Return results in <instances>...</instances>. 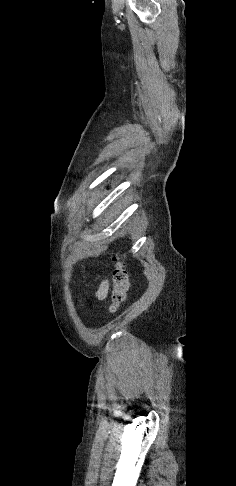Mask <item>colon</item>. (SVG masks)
<instances>
[{
  "instance_id": "colon-1",
  "label": "colon",
  "mask_w": 236,
  "mask_h": 486,
  "mask_svg": "<svg viewBox=\"0 0 236 486\" xmlns=\"http://www.w3.org/2000/svg\"><path fill=\"white\" fill-rule=\"evenodd\" d=\"M112 261L114 263V270L112 273L113 289L111 292V304L109 306V312L115 313L119 310L126 299L129 288V275L123 262L122 255L115 254L112 257Z\"/></svg>"
}]
</instances>
